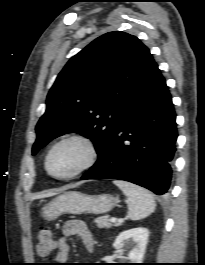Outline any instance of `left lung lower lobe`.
<instances>
[{
  "mask_svg": "<svg viewBox=\"0 0 205 265\" xmlns=\"http://www.w3.org/2000/svg\"><path fill=\"white\" fill-rule=\"evenodd\" d=\"M171 95L158 66L122 112L105 150L82 177L119 179L168 193L177 128Z\"/></svg>",
  "mask_w": 205,
  "mask_h": 265,
  "instance_id": "1",
  "label": "left lung lower lobe"
}]
</instances>
